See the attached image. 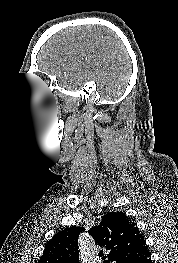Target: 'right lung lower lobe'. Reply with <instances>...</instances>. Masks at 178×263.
Instances as JSON below:
<instances>
[{
  "label": "right lung lower lobe",
  "mask_w": 178,
  "mask_h": 263,
  "mask_svg": "<svg viewBox=\"0 0 178 263\" xmlns=\"http://www.w3.org/2000/svg\"><path fill=\"white\" fill-rule=\"evenodd\" d=\"M136 263H152V260L150 259V252H147L140 260H138Z\"/></svg>",
  "instance_id": "right-lung-lower-lobe-1"
}]
</instances>
